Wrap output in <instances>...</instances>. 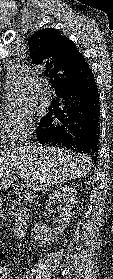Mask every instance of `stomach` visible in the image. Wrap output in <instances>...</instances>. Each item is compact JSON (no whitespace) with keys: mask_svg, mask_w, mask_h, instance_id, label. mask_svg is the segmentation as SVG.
Instances as JSON below:
<instances>
[{"mask_svg":"<svg viewBox=\"0 0 113 279\" xmlns=\"http://www.w3.org/2000/svg\"><path fill=\"white\" fill-rule=\"evenodd\" d=\"M2 206V199L0 198V207Z\"/></svg>","mask_w":113,"mask_h":279,"instance_id":"obj_1","label":"stomach"}]
</instances>
